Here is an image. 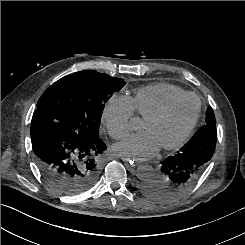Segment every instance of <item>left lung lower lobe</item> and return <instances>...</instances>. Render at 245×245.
Returning <instances> with one entry per match:
<instances>
[{
	"label": "left lung lower lobe",
	"mask_w": 245,
	"mask_h": 245,
	"mask_svg": "<svg viewBox=\"0 0 245 245\" xmlns=\"http://www.w3.org/2000/svg\"><path fill=\"white\" fill-rule=\"evenodd\" d=\"M217 141L215 126L204 125L175 155L161 162L159 175L141 186L155 201H169L188 190L205 170Z\"/></svg>",
	"instance_id": "1"
}]
</instances>
